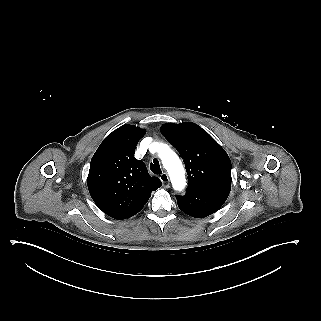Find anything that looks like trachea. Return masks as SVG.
Wrapping results in <instances>:
<instances>
[{"label": "trachea", "mask_w": 321, "mask_h": 321, "mask_svg": "<svg viewBox=\"0 0 321 321\" xmlns=\"http://www.w3.org/2000/svg\"><path fill=\"white\" fill-rule=\"evenodd\" d=\"M150 169L154 174L160 175L162 173L158 159L155 158L150 163Z\"/></svg>", "instance_id": "1"}]
</instances>
